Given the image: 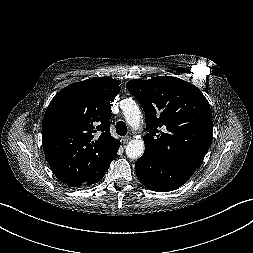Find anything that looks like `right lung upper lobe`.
Returning a JSON list of instances; mask_svg holds the SVG:
<instances>
[{
	"mask_svg": "<svg viewBox=\"0 0 253 253\" xmlns=\"http://www.w3.org/2000/svg\"><path fill=\"white\" fill-rule=\"evenodd\" d=\"M119 80L95 77L73 83L51 100L42 123L45 157L60 181L85 182L105 172L120 141L110 133L111 103Z\"/></svg>",
	"mask_w": 253,
	"mask_h": 253,
	"instance_id": "cb5924a9",
	"label": "right lung upper lobe"
}]
</instances>
